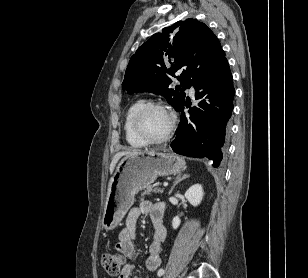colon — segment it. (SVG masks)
Masks as SVG:
<instances>
[{"label":"colon","mask_w":308,"mask_h":278,"mask_svg":"<svg viewBox=\"0 0 308 278\" xmlns=\"http://www.w3.org/2000/svg\"><path fill=\"white\" fill-rule=\"evenodd\" d=\"M125 256L121 253H107L101 259V265L110 275H117L124 267Z\"/></svg>","instance_id":"colon-1"}]
</instances>
